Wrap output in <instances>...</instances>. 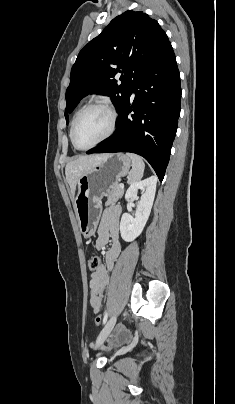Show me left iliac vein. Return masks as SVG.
Listing matches in <instances>:
<instances>
[{"label": "left iliac vein", "mask_w": 235, "mask_h": 404, "mask_svg": "<svg viewBox=\"0 0 235 404\" xmlns=\"http://www.w3.org/2000/svg\"><path fill=\"white\" fill-rule=\"evenodd\" d=\"M116 320L117 317L113 316L109 319V321L106 323V325L104 326V328L102 329V331L100 332L96 344H95V348L97 349L98 347H100L104 341L107 339V337L109 336V334L111 333V331L113 330L115 324H116Z\"/></svg>", "instance_id": "1"}]
</instances>
